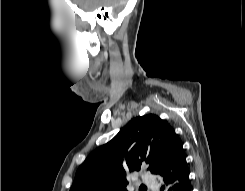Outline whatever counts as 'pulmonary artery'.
Returning a JSON list of instances; mask_svg holds the SVG:
<instances>
[{
	"label": "pulmonary artery",
	"instance_id": "pulmonary-artery-1",
	"mask_svg": "<svg viewBox=\"0 0 245 191\" xmlns=\"http://www.w3.org/2000/svg\"><path fill=\"white\" fill-rule=\"evenodd\" d=\"M141 182L154 191L159 190V185H158L156 179L149 174H143L142 178H141Z\"/></svg>",
	"mask_w": 245,
	"mask_h": 191
}]
</instances>
